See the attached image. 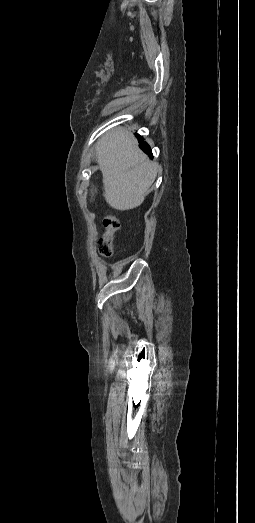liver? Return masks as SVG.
<instances>
[{
  "instance_id": "1",
  "label": "liver",
  "mask_w": 255,
  "mask_h": 523,
  "mask_svg": "<svg viewBox=\"0 0 255 523\" xmlns=\"http://www.w3.org/2000/svg\"><path fill=\"white\" fill-rule=\"evenodd\" d=\"M97 158L103 176L104 198L114 210H133L145 200L160 170L138 148L126 128H115L97 142Z\"/></svg>"
}]
</instances>
